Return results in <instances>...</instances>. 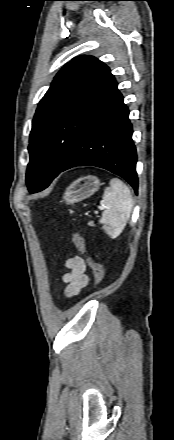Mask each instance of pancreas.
Masks as SVG:
<instances>
[{
  "label": "pancreas",
  "instance_id": "pancreas-1",
  "mask_svg": "<svg viewBox=\"0 0 174 440\" xmlns=\"http://www.w3.org/2000/svg\"><path fill=\"white\" fill-rule=\"evenodd\" d=\"M88 225H89V226H93V223H92V222H89Z\"/></svg>",
  "mask_w": 174,
  "mask_h": 440
}]
</instances>
